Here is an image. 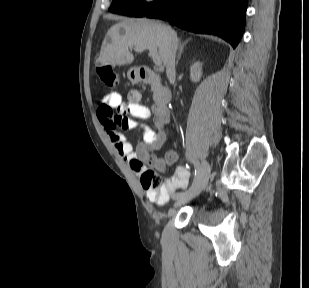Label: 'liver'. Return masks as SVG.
I'll return each mask as SVG.
<instances>
[{
    "label": "liver",
    "instance_id": "6515ba94",
    "mask_svg": "<svg viewBox=\"0 0 309 288\" xmlns=\"http://www.w3.org/2000/svg\"><path fill=\"white\" fill-rule=\"evenodd\" d=\"M170 31H173L170 27L148 19H124L108 30L97 63L100 66L131 64L134 55L130 50L145 46L158 48V54L165 64ZM174 35L177 38L175 32Z\"/></svg>",
    "mask_w": 309,
    "mask_h": 288
}]
</instances>
